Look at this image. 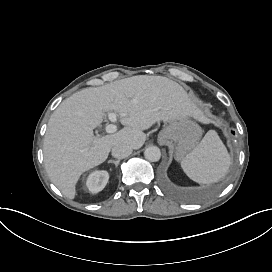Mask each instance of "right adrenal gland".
<instances>
[{"label": "right adrenal gland", "instance_id": "obj_1", "mask_svg": "<svg viewBox=\"0 0 272 272\" xmlns=\"http://www.w3.org/2000/svg\"><path fill=\"white\" fill-rule=\"evenodd\" d=\"M120 160H109L108 163H114L117 167L119 165Z\"/></svg>", "mask_w": 272, "mask_h": 272}]
</instances>
